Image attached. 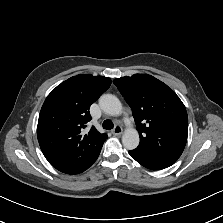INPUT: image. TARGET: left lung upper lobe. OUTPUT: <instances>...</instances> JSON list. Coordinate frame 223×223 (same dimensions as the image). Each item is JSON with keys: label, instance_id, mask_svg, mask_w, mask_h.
I'll list each match as a JSON object with an SVG mask.
<instances>
[{"label": "left lung upper lobe", "instance_id": "1", "mask_svg": "<svg viewBox=\"0 0 223 223\" xmlns=\"http://www.w3.org/2000/svg\"><path fill=\"white\" fill-rule=\"evenodd\" d=\"M132 109L140 143L132 151L150 158L176 162L188 132L184 104L166 84L148 74H135L114 81Z\"/></svg>", "mask_w": 223, "mask_h": 223}]
</instances>
